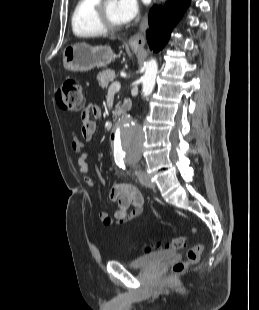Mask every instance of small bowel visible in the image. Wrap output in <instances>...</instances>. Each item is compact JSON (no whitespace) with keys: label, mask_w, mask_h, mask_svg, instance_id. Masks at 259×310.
<instances>
[{"label":"small bowel","mask_w":259,"mask_h":310,"mask_svg":"<svg viewBox=\"0 0 259 310\" xmlns=\"http://www.w3.org/2000/svg\"><path fill=\"white\" fill-rule=\"evenodd\" d=\"M101 110L97 105H89L82 113L81 135L85 141L92 140L96 124L93 118H99ZM71 149L78 153L77 164L79 174L88 186L94 185V180L89 172V154L82 152L83 142L76 135L72 136ZM117 179L109 192V199L116 202L118 209L114 216L107 212H100L99 219L104 225H112L115 222L123 223L138 217L143 211L144 199L141 192L132 184L120 178L115 170L112 169Z\"/></svg>","instance_id":"obj_1"}]
</instances>
